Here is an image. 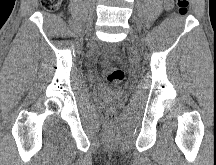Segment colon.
I'll list each match as a JSON object with an SVG mask.
<instances>
[{
    "instance_id": "obj_1",
    "label": "colon",
    "mask_w": 216,
    "mask_h": 165,
    "mask_svg": "<svg viewBox=\"0 0 216 165\" xmlns=\"http://www.w3.org/2000/svg\"><path fill=\"white\" fill-rule=\"evenodd\" d=\"M41 4L47 9L56 10L61 4V0H41ZM176 7L180 15H186L189 8V0H176ZM106 78L112 85H119L124 81L125 73L118 67H108L106 69ZM114 116V110H110V119H114Z\"/></svg>"
}]
</instances>
